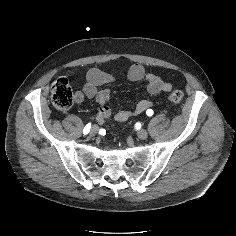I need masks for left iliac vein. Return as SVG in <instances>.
<instances>
[{
    "mask_svg": "<svg viewBox=\"0 0 236 236\" xmlns=\"http://www.w3.org/2000/svg\"><path fill=\"white\" fill-rule=\"evenodd\" d=\"M137 137L139 139H146L148 137V132L145 129H139L137 131Z\"/></svg>",
    "mask_w": 236,
    "mask_h": 236,
    "instance_id": "4c4485c4",
    "label": "left iliac vein"
}]
</instances>
